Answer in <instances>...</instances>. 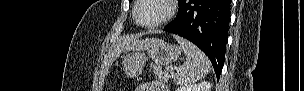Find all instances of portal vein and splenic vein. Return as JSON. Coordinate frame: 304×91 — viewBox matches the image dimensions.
Returning <instances> with one entry per match:
<instances>
[{"mask_svg": "<svg viewBox=\"0 0 304 91\" xmlns=\"http://www.w3.org/2000/svg\"><path fill=\"white\" fill-rule=\"evenodd\" d=\"M169 70H173V67H172V66H169Z\"/></svg>", "mask_w": 304, "mask_h": 91, "instance_id": "portal-vein-and-splenic-vein-1", "label": "portal vein and splenic vein"}]
</instances>
